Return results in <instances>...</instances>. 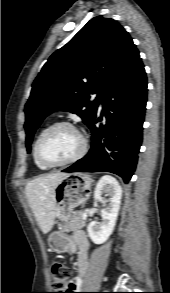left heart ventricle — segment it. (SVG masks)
<instances>
[{
  "label": "left heart ventricle",
  "mask_w": 170,
  "mask_h": 293,
  "mask_svg": "<svg viewBox=\"0 0 170 293\" xmlns=\"http://www.w3.org/2000/svg\"><path fill=\"white\" fill-rule=\"evenodd\" d=\"M82 147L78 133L67 127L52 131L43 141L41 153L45 160L62 162L75 156Z\"/></svg>",
  "instance_id": "1"
}]
</instances>
